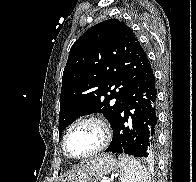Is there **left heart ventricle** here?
<instances>
[{
  "mask_svg": "<svg viewBox=\"0 0 196 182\" xmlns=\"http://www.w3.org/2000/svg\"><path fill=\"white\" fill-rule=\"evenodd\" d=\"M100 131L94 124L76 127L68 137V149L74 155H84L93 150L100 142Z\"/></svg>",
  "mask_w": 196,
  "mask_h": 182,
  "instance_id": "b2bd125f",
  "label": "left heart ventricle"
}]
</instances>
